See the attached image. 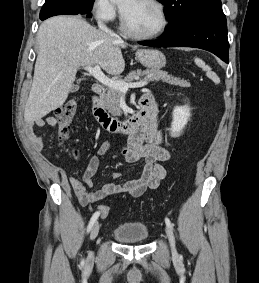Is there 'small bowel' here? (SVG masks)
Segmentation results:
<instances>
[{"label":"small bowel","mask_w":259,"mask_h":283,"mask_svg":"<svg viewBox=\"0 0 259 283\" xmlns=\"http://www.w3.org/2000/svg\"><path fill=\"white\" fill-rule=\"evenodd\" d=\"M154 105L157 107L155 101ZM56 124V119L53 116L39 118L26 123V136L37 151L41 152L43 150L44 141L42 137L35 133V127H55ZM163 139V133L159 129V122L155 116L151 119L149 125L132 135L126 143L108 141L101 145L97 152L89 158L83 173L79 177H71L69 179L70 185L80 203L89 205L109 195L122 193L132 197H139L148 189H156L167 176V170L163 162L171 158V152L163 146ZM114 146L119 148L121 155L128 162L144 161L142 175L137 179L118 184L115 183V180L120 178V173L114 172L111 175L110 182L98 190L90 191L89 189L93 187L92 178L99 167L100 157L104 156ZM47 170L51 175L56 173L55 169L50 165L47 166ZM59 175L63 177L62 172H59Z\"/></svg>","instance_id":"obj_1"}]
</instances>
